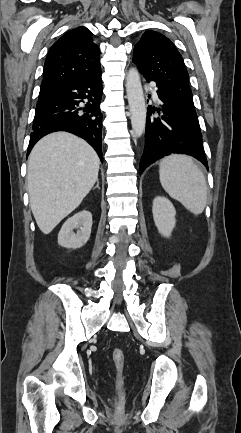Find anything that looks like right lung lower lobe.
<instances>
[{
  "instance_id": "98d812e1",
  "label": "right lung lower lobe",
  "mask_w": 241,
  "mask_h": 433,
  "mask_svg": "<svg viewBox=\"0 0 241 433\" xmlns=\"http://www.w3.org/2000/svg\"><path fill=\"white\" fill-rule=\"evenodd\" d=\"M101 72L64 83L38 99L27 155L43 136L67 131L85 139L102 157ZM87 99L84 108L80 102Z\"/></svg>"
}]
</instances>
